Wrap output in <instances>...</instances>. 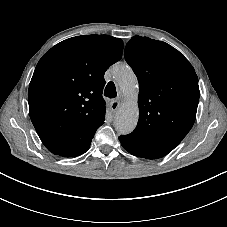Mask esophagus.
Listing matches in <instances>:
<instances>
[{
	"label": "esophagus",
	"instance_id": "obj_1",
	"mask_svg": "<svg viewBox=\"0 0 227 227\" xmlns=\"http://www.w3.org/2000/svg\"><path fill=\"white\" fill-rule=\"evenodd\" d=\"M120 107V102L117 100H114L110 103V108L113 112L117 111V109Z\"/></svg>",
	"mask_w": 227,
	"mask_h": 227
}]
</instances>
